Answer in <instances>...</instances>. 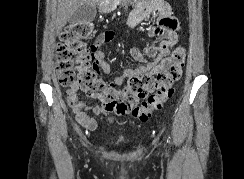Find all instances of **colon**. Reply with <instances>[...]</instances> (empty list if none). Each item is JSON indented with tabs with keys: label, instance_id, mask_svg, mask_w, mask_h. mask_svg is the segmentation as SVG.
<instances>
[{
	"label": "colon",
	"instance_id": "1",
	"mask_svg": "<svg viewBox=\"0 0 244 179\" xmlns=\"http://www.w3.org/2000/svg\"><path fill=\"white\" fill-rule=\"evenodd\" d=\"M93 24L67 26L60 36L58 45V77L65 87H79L83 93L104 104L110 114L124 115L131 112L139 121H146L161 109L174 95V83L181 77L185 63V50L178 46L151 71L132 75L122 91L106 84L100 77L97 64L85 41L93 33ZM144 93H150L144 106H135ZM87 125L92 124L86 118Z\"/></svg>",
	"mask_w": 244,
	"mask_h": 179
}]
</instances>
